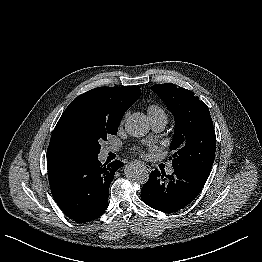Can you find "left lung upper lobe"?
Wrapping results in <instances>:
<instances>
[{"mask_svg": "<svg viewBox=\"0 0 262 262\" xmlns=\"http://www.w3.org/2000/svg\"><path fill=\"white\" fill-rule=\"evenodd\" d=\"M175 118L170 149L174 168L209 176L216 150V136L207 105L193 92L174 84L151 87Z\"/></svg>", "mask_w": 262, "mask_h": 262, "instance_id": "left-lung-upper-lobe-1", "label": "left lung upper lobe"}]
</instances>
